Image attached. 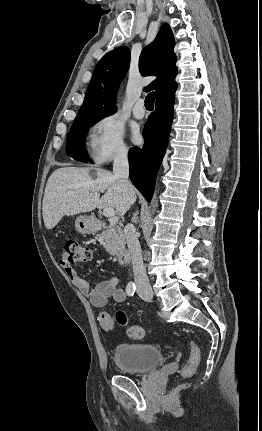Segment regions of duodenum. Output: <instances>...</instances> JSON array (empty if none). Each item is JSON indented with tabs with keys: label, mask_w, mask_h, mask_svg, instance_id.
Returning a JSON list of instances; mask_svg holds the SVG:
<instances>
[{
	"label": "duodenum",
	"mask_w": 262,
	"mask_h": 431,
	"mask_svg": "<svg viewBox=\"0 0 262 431\" xmlns=\"http://www.w3.org/2000/svg\"><path fill=\"white\" fill-rule=\"evenodd\" d=\"M100 227V224H97ZM117 261L121 265H127L130 262V254L127 250H123L117 253Z\"/></svg>",
	"instance_id": "1"
}]
</instances>
